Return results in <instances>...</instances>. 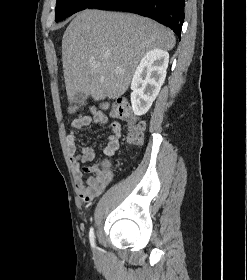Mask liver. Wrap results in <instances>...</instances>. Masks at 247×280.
I'll use <instances>...</instances> for the list:
<instances>
[{
  "mask_svg": "<svg viewBox=\"0 0 247 280\" xmlns=\"http://www.w3.org/2000/svg\"><path fill=\"white\" fill-rule=\"evenodd\" d=\"M175 42L171 30L146 17L89 9L77 13L62 38L69 113L89 96L95 101L122 96L145 53L172 50ZM79 92L85 98L77 106Z\"/></svg>",
  "mask_w": 247,
  "mask_h": 280,
  "instance_id": "1",
  "label": "liver"
}]
</instances>
